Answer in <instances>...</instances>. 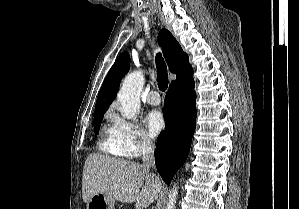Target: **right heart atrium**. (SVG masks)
I'll return each mask as SVG.
<instances>
[{"instance_id": "d8ad5b80", "label": "right heart atrium", "mask_w": 299, "mask_h": 209, "mask_svg": "<svg viewBox=\"0 0 299 209\" xmlns=\"http://www.w3.org/2000/svg\"><path fill=\"white\" fill-rule=\"evenodd\" d=\"M111 122L123 156L137 158L153 147L146 132L138 125L116 114L111 116Z\"/></svg>"}]
</instances>
